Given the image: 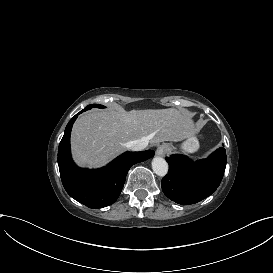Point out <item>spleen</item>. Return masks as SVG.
Returning <instances> with one entry per match:
<instances>
[{
    "mask_svg": "<svg viewBox=\"0 0 273 273\" xmlns=\"http://www.w3.org/2000/svg\"><path fill=\"white\" fill-rule=\"evenodd\" d=\"M200 159H202V157H201L200 155H194V156L191 157V160H192L193 162H196V161H198V160H200Z\"/></svg>",
    "mask_w": 273,
    "mask_h": 273,
    "instance_id": "obj_1",
    "label": "spleen"
}]
</instances>
